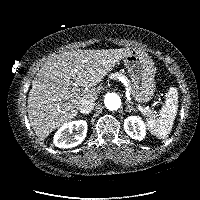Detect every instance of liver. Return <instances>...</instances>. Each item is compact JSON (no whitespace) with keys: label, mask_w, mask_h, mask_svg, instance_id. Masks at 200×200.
<instances>
[{"label":"liver","mask_w":200,"mask_h":200,"mask_svg":"<svg viewBox=\"0 0 200 200\" xmlns=\"http://www.w3.org/2000/svg\"><path fill=\"white\" fill-rule=\"evenodd\" d=\"M130 51V48L78 49L48 59L33 79L28 96V118L36 136L45 140L77 116L83 100L95 101L96 86ZM77 86L84 89L77 90Z\"/></svg>","instance_id":"6515ba94"}]
</instances>
